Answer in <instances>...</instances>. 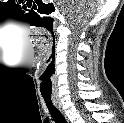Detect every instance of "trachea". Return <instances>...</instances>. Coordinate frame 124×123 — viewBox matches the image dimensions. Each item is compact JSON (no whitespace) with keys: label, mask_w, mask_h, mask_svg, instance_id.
Instances as JSON below:
<instances>
[{"label":"trachea","mask_w":124,"mask_h":123,"mask_svg":"<svg viewBox=\"0 0 124 123\" xmlns=\"http://www.w3.org/2000/svg\"><path fill=\"white\" fill-rule=\"evenodd\" d=\"M43 99L55 123H67L62 113L53 104L51 97L43 96Z\"/></svg>","instance_id":"trachea-1"}]
</instances>
